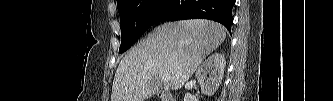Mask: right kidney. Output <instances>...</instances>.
Wrapping results in <instances>:
<instances>
[{"label":"right kidney","instance_id":"right-kidney-1","mask_svg":"<svg viewBox=\"0 0 333 101\" xmlns=\"http://www.w3.org/2000/svg\"><path fill=\"white\" fill-rule=\"evenodd\" d=\"M225 65V57L221 53L212 54L202 63L196 72L202 93L211 96L217 91L223 79ZM184 101H196V97L187 93Z\"/></svg>","mask_w":333,"mask_h":101}]
</instances>
